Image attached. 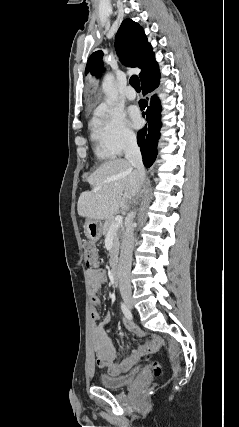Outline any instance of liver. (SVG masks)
Returning <instances> with one entry per match:
<instances>
[{"instance_id": "6515ba94", "label": "liver", "mask_w": 239, "mask_h": 427, "mask_svg": "<svg viewBox=\"0 0 239 427\" xmlns=\"http://www.w3.org/2000/svg\"><path fill=\"white\" fill-rule=\"evenodd\" d=\"M91 191L80 194L78 214L88 219L108 220L128 210L139 194L141 180L127 159H113L102 163L88 178Z\"/></svg>"}]
</instances>
